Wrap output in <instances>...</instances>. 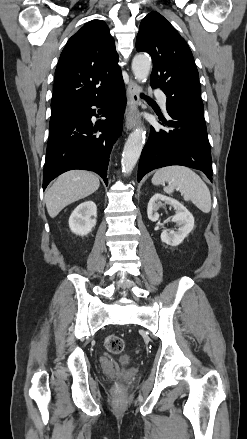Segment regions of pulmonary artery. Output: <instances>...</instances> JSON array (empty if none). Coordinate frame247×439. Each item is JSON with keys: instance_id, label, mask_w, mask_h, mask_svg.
Here are the masks:
<instances>
[{"instance_id": "1", "label": "pulmonary artery", "mask_w": 247, "mask_h": 439, "mask_svg": "<svg viewBox=\"0 0 247 439\" xmlns=\"http://www.w3.org/2000/svg\"><path fill=\"white\" fill-rule=\"evenodd\" d=\"M155 93H156L157 97L159 98L163 109L166 110V101H167L166 95L160 90H156Z\"/></svg>"}]
</instances>
